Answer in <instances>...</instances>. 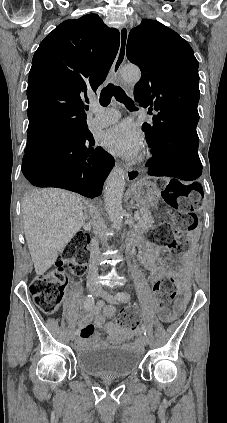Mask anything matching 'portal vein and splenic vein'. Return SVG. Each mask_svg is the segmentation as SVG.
Here are the masks:
<instances>
[{
  "label": "portal vein and splenic vein",
  "instance_id": "18ae733b",
  "mask_svg": "<svg viewBox=\"0 0 227 423\" xmlns=\"http://www.w3.org/2000/svg\"><path fill=\"white\" fill-rule=\"evenodd\" d=\"M138 213H140V210L135 211V214H134V219L135 220H138L139 219V214Z\"/></svg>",
  "mask_w": 227,
  "mask_h": 423
}]
</instances>
